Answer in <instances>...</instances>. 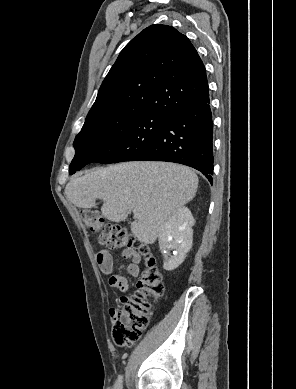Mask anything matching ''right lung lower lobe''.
Listing matches in <instances>:
<instances>
[{"instance_id": "98d812e1", "label": "right lung lower lobe", "mask_w": 296, "mask_h": 389, "mask_svg": "<svg viewBox=\"0 0 296 389\" xmlns=\"http://www.w3.org/2000/svg\"><path fill=\"white\" fill-rule=\"evenodd\" d=\"M136 160L184 164L202 172L212 184L214 156L210 100L188 106L169 116L166 126ZM83 166L85 164L77 166L70 174Z\"/></svg>"}]
</instances>
